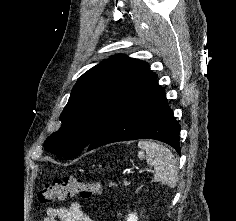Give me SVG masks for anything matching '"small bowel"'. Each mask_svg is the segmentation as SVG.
<instances>
[{
    "instance_id": "1",
    "label": "small bowel",
    "mask_w": 236,
    "mask_h": 221,
    "mask_svg": "<svg viewBox=\"0 0 236 221\" xmlns=\"http://www.w3.org/2000/svg\"><path fill=\"white\" fill-rule=\"evenodd\" d=\"M43 221H95L78 202L48 207Z\"/></svg>"
}]
</instances>
